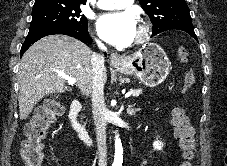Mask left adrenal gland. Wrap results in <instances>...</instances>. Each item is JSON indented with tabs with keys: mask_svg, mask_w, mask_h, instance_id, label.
<instances>
[{
	"mask_svg": "<svg viewBox=\"0 0 227 166\" xmlns=\"http://www.w3.org/2000/svg\"><path fill=\"white\" fill-rule=\"evenodd\" d=\"M138 111L137 108H133L132 106H129L127 109V113L130 115H134Z\"/></svg>",
	"mask_w": 227,
	"mask_h": 166,
	"instance_id": "left-adrenal-gland-1",
	"label": "left adrenal gland"
}]
</instances>
